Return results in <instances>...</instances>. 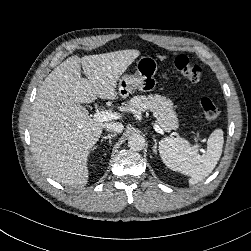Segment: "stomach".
Returning <instances> with one entry per match:
<instances>
[{
	"instance_id": "stomach-1",
	"label": "stomach",
	"mask_w": 251,
	"mask_h": 251,
	"mask_svg": "<svg viewBox=\"0 0 251 251\" xmlns=\"http://www.w3.org/2000/svg\"><path fill=\"white\" fill-rule=\"evenodd\" d=\"M158 69L157 61L151 56H142L136 62V74L124 75L119 80V94L127 97L134 90L149 92L155 89L157 81L155 74Z\"/></svg>"
}]
</instances>
